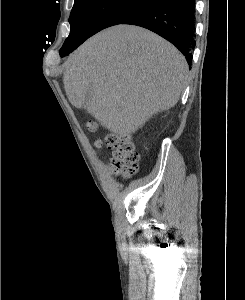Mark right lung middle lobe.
I'll return each mask as SVG.
<instances>
[{"instance_id": "1", "label": "right lung middle lobe", "mask_w": 245, "mask_h": 300, "mask_svg": "<svg viewBox=\"0 0 245 300\" xmlns=\"http://www.w3.org/2000/svg\"><path fill=\"white\" fill-rule=\"evenodd\" d=\"M155 0H75L70 14V34L60 55L79 46L107 27L121 24L150 6Z\"/></svg>"}]
</instances>
